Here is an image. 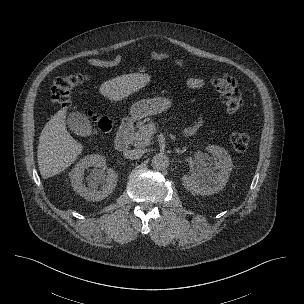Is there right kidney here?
Here are the masks:
<instances>
[{"label":"right kidney","mask_w":304,"mask_h":304,"mask_svg":"<svg viewBox=\"0 0 304 304\" xmlns=\"http://www.w3.org/2000/svg\"><path fill=\"white\" fill-rule=\"evenodd\" d=\"M94 167L88 178V187L83 184L85 169ZM71 184L76 193L88 201L105 199L114 190L118 175L105 165L104 156L91 154L81 159L70 172Z\"/></svg>","instance_id":"ca27d5eb"}]
</instances>
